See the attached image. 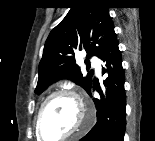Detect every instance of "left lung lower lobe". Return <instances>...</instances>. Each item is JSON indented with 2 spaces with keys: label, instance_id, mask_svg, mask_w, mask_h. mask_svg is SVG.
<instances>
[{
  "label": "left lung lower lobe",
  "instance_id": "left-lung-lower-lobe-1",
  "mask_svg": "<svg viewBox=\"0 0 155 141\" xmlns=\"http://www.w3.org/2000/svg\"><path fill=\"white\" fill-rule=\"evenodd\" d=\"M103 62L102 74H108L104 80L105 90H98L101 99H93L97 109V122L81 141H124L126 128V96L124 89L125 73L118 48L116 34L109 40L99 57ZM95 88V83H93ZM88 94L92 97L91 89ZM114 99H118L117 109H112Z\"/></svg>",
  "mask_w": 155,
  "mask_h": 141
}]
</instances>
